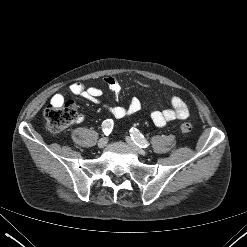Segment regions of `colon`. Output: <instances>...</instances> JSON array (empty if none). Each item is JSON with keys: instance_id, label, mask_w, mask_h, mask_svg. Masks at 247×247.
Masks as SVG:
<instances>
[{"instance_id": "1", "label": "colon", "mask_w": 247, "mask_h": 247, "mask_svg": "<svg viewBox=\"0 0 247 247\" xmlns=\"http://www.w3.org/2000/svg\"><path fill=\"white\" fill-rule=\"evenodd\" d=\"M44 118L47 130L52 134H59L74 122L76 109L71 102L52 103L45 109ZM180 130L182 133H189L192 130V124L183 122Z\"/></svg>"}]
</instances>
